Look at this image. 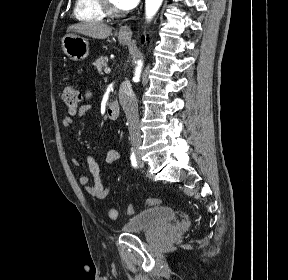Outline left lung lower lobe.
Returning <instances> with one entry per match:
<instances>
[{
  "label": "left lung lower lobe",
  "instance_id": "left-lung-lower-lobe-1",
  "mask_svg": "<svg viewBox=\"0 0 288 280\" xmlns=\"http://www.w3.org/2000/svg\"><path fill=\"white\" fill-rule=\"evenodd\" d=\"M142 42H144V37H142Z\"/></svg>",
  "mask_w": 288,
  "mask_h": 280
}]
</instances>
